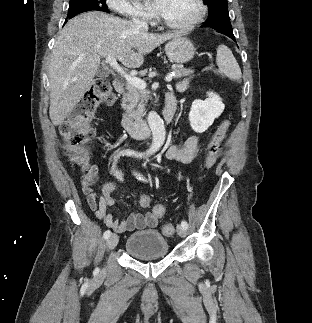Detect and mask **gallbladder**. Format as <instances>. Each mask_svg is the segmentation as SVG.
Returning <instances> with one entry per match:
<instances>
[{"label":"gallbladder","mask_w":312,"mask_h":323,"mask_svg":"<svg viewBox=\"0 0 312 323\" xmlns=\"http://www.w3.org/2000/svg\"><path fill=\"white\" fill-rule=\"evenodd\" d=\"M109 74V70H105V68H99L96 72V76H98V78H108Z\"/></svg>","instance_id":"gallbladder-1"}]
</instances>
